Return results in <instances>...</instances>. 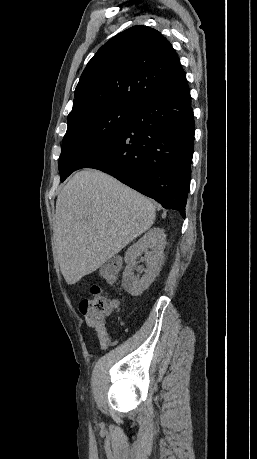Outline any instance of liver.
I'll return each mask as SVG.
<instances>
[{
    "mask_svg": "<svg viewBox=\"0 0 257 459\" xmlns=\"http://www.w3.org/2000/svg\"><path fill=\"white\" fill-rule=\"evenodd\" d=\"M145 196L98 170L77 172L57 197L54 239L65 281L73 285L154 223Z\"/></svg>",
    "mask_w": 257,
    "mask_h": 459,
    "instance_id": "liver-1",
    "label": "liver"
}]
</instances>
